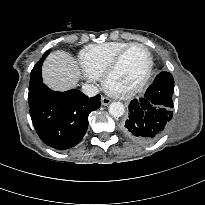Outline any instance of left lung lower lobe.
I'll use <instances>...</instances> for the list:
<instances>
[{
    "mask_svg": "<svg viewBox=\"0 0 205 205\" xmlns=\"http://www.w3.org/2000/svg\"><path fill=\"white\" fill-rule=\"evenodd\" d=\"M173 101L162 88L149 89L144 97L129 104V116L122 124L123 133L132 141L149 144L160 138L172 119Z\"/></svg>",
    "mask_w": 205,
    "mask_h": 205,
    "instance_id": "0a47b994",
    "label": "left lung lower lobe"
}]
</instances>
